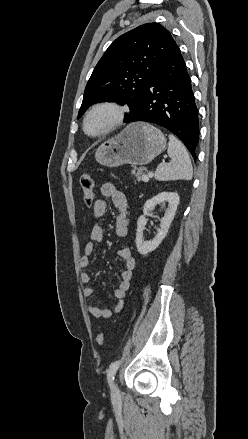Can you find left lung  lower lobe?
I'll use <instances>...</instances> for the list:
<instances>
[{"label": "left lung lower lobe", "instance_id": "1", "mask_svg": "<svg viewBox=\"0 0 248 439\" xmlns=\"http://www.w3.org/2000/svg\"><path fill=\"white\" fill-rule=\"evenodd\" d=\"M145 121L174 133L196 160L198 109L191 79L178 46L147 86L137 110L126 123Z\"/></svg>", "mask_w": 248, "mask_h": 439}]
</instances>
